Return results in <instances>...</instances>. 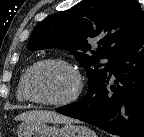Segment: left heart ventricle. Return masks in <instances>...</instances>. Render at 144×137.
Wrapping results in <instances>:
<instances>
[{
	"label": "left heart ventricle",
	"mask_w": 144,
	"mask_h": 137,
	"mask_svg": "<svg viewBox=\"0 0 144 137\" xmlns=\"http://www.w3.org/2000/svg\"><path fill=\"white\" fill-rule=\"evenodd\" d=\"M75 86L74 75L59 65H42L31 75V92L35 97L43 100H63L72 94Z\"/></svg>",
	"instance_id": "obj_1"
}]
</instances>
